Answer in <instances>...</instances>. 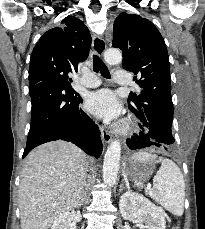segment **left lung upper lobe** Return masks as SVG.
<instances>
[{
  "mask_svg": "<svg viewBox=\"0 0 205 229\" xmlns=\"http://www.w3.org/2000/svg\"><path fill=\"white\" fill-rule=\"evenodd\" d=\"M112 46L122 50L123 68L135 74L133 79L141 87L139 92H130L129 109L144 124L167 127L172 136L169 59L160 32L149 20L123 12L114 21ZM173 143L174 138L164 146Z\"/></svg>",
  "mask_w": 205,
  "mask_h": 229,
  "instance_id": "left-lung-upper-lobe-1",
  "label": "left lung upper lobe"
}]
</instances>
